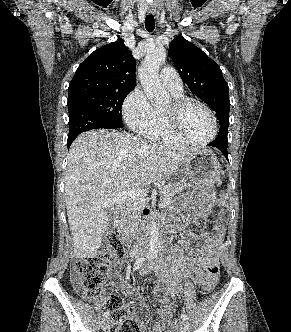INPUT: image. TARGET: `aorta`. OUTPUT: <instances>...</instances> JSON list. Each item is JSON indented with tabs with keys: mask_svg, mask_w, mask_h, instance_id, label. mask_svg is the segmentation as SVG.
<instances>
[{
	"mask_svg": "<svg viewBox=\"0 0 291 332\" xmlns=\"http://www.w3.org/2000/svg\"><path fill=\"white\" fill-rule=\"evenodd\" d=\"M166 59L164 48H156L147 52L142 66L139 68V79L143 90L151 103L163 104L169 101L170 95L159 79V67ZM159 229L153 219L150 228L149 254L158 252Z\"/></svg>",
	"mask_w": 291,
	"mask_h": 332,
	"instance_id": "aorta-1",
	"label": "aorta"
}]
</instances>
